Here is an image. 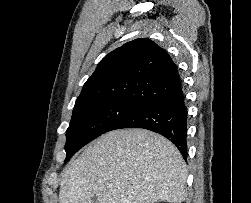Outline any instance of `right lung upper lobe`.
<instances>
[{"label": "right lung upper lobe", "mask_w": 251, "mask_h": 203, "mask_svg": "<svg viewBox=\"0 0 251 203\" xmlns=\"http://www.w3.org/2000/svg\"><path fill=\"white\" fill-rule=\"evenodd\" d=\"M181 87L168 53L153 41H130L105 56L85 82L75 105L127 103L146 106Z\"/></svg>", "instance_id": "obj_1"}]
</instances>
